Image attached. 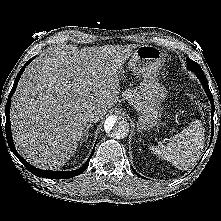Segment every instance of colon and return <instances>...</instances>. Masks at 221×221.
Listing matches in <instances>:
<instances>
[{
    "label": "colon",
    "instance_id": "5ec220e1",
    "mask_svg": "<svg viewBox=\"0 0 221 221\" xmlns=\"http://www.w3.org/2000/svg\"><path fill=\"white\" fill-rule=\"evenodd\" d=\"M192 101H193L194 105L196 106V108L199 112L204 111V104H203L202 100H200L199 98L193 97Z\"/></svg>",
    "mask_w": 221,
    "mask_h": 221
}]
</instances>
